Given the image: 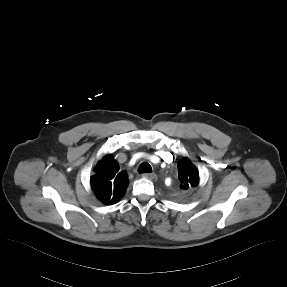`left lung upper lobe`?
Returning a JSON list of instances; mask_svg holds the SVG:
<instances>
[{
    "label": "left lung upper lobe",
    "instance_id": "left-lung-upper-lobe-1",
    "mask_svg": "<svg viewBox=\"0 0 287 287\" xmlns=\"http://www.w3.org/2000/svg\"><path fill=\"white\" fill-rule=\"evenodd\" d=\"M179 180L181 189H188L198 185L199 173L188 158L178 161Z\"/></svg>",
    "mask_w": 287,
    "mask_h": 287
}]
</instances>
